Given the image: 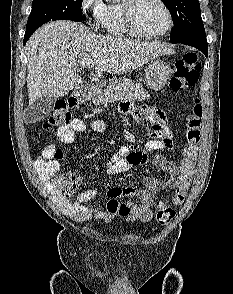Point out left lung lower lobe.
<instances>
[{
    "label": "left lung lower lobe",
    "mask_w": 233,
    "mask_h": 294,
    "mask_svg": "<svg viewBox=\"0 0 233 294\" xmlns=\"http://www.w3.org/2000/svg\"><path fill=\"white\" fill-rule=\"evenodd\" d=\"M178 43L195 47L199 49L200 51H202L206 57L208 55L207 40H183Z\"/></svg>",
    "instance_id": "obj_1"
}]
</instances>
